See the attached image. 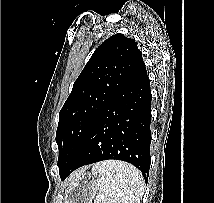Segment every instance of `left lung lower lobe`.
<instances>
[{"label": "left lung lower lobe", "instance_id": "1", "mask_svg": "<svg viewBox=\"0 0 214 203\" xmlns=\"http://www.w3.org/2000/svg\"><path fill=\"white\" fill-rule=\"evenodd\" d=\"M151 99L150 81L142 61L97 117L61 180L81 166L116 159L137 167L147 183L151 162Z\"/></svg>", "mask_w": 214, "mask_h": 203}]
</instances>
